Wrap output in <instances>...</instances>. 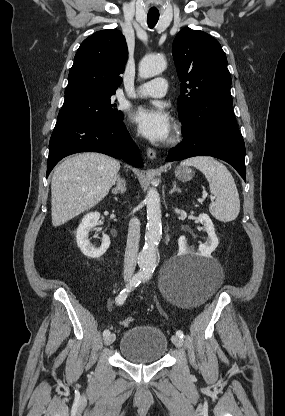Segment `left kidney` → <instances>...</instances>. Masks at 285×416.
I'll list each match as a JSON object with an SVG mask.
<instances>
[{
    "label": "left kidney",
    "instance_id": "obj_1",
    "mask_svg": "<svg viewBox=\"0 0 285 416\" xmlns=\"http://www.w3.org/2000/svg\"><path fill=\"white\" fill-rule=\"evenodd\" d=\"M198 220L200 224H203V226H205V230L208 234V238L205 244H200L198 248V254H200V256H210V254H212V252L216 250L219 244V240L215 234V228L207 214H200ZM178 244L182 252H190V248H188L187 246V240L185 236H180Z\"/></svg>",
    "mask_w": 285,
    "mask_h": 416
}]
</instances>
